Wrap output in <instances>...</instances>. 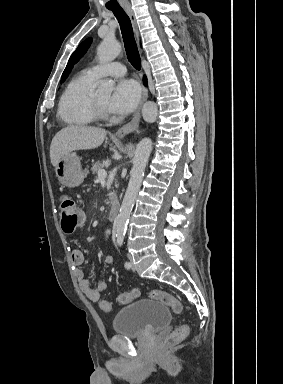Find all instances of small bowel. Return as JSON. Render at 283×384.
<instances>
[{"mask_svg": "<svg viewBox=\"0 0 283 384\" xmlns=\"http://www.w3.org/2000/svg\"><path fill=\"white\" fill-rule=\"evenodd\" d=\"M110 230H105V237H108ZM71 263L75 267V275L78 281L80 290L84 293L88 300L97 302L100 298V294L105 291L107 284L105 282L98 283L95 287H91L90 282L85 276V273L80 266L84 263V254L79 249L72 250L70 254ZM105 264L111 265L113 263V257L108 255L105 257Z\"/></svg>", "mask_w": 283, "mask_h": 384, "instance_id": "small-bowel-1", "label": "small bowel"}]
</instances>
